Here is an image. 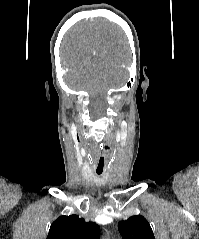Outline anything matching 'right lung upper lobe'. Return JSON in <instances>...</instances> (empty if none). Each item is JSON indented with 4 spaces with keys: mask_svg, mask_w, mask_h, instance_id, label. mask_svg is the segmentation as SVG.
Instances as JSON below:
<instances>
[{
    "mask_svg": "<svg viewBox=\"0 0 199 239\" xmlns=\"http://www.w3.org/2000/svg\"><path fill=\"white\" fill-rule=\"evenodd\" d=\"M99 226L85 222L77 215L60 216L55 220L46 239H99Z\"/></svg>",
    "mask_w": 199,
    "mask_h": 239,
    "instance_id": "cb5924a9",
    "label": "right lung upper lobe"
}]
</instances>
